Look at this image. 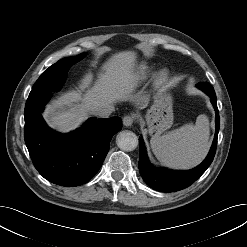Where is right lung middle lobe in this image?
<instances>
[{
	"mask_svg": "<svg viewBox=\"0 0 247 247\" xmlns=\"http://www.w3.org/2000/svg\"><path fill=\"white\" fill-rule=\"evenodd\" d=\"M86 54L67 57L50 66L33 85L29 98L41 99L53 91H58L63 85L69 67L80 61Z\"/></svg>",
	"mask_w": 247,
	"mask_h": 247,
	"instance_id": "right-lung-middle-lobe-1",
	"label": "right lung middle lobe"
}]
</instances>
